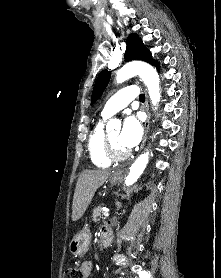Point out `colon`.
Segmentation results:
<instances>
[{
  "mask_svg": "<svg viewBox=\"0 0 221 278\" xmlns=\"http://www.w3.org/2000/svg\"><path fill=\"white\" fill-rule=\"evenodd\" d=\"M65 278H83V273L78 267H69L66 270Z\"/></svg>",
  "mask_w": 221,
  "mask_h": 278,
  "instance_id": "5ec220e1",
  "label": "colon"
}]
</instances>
